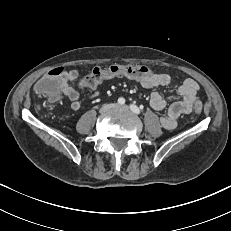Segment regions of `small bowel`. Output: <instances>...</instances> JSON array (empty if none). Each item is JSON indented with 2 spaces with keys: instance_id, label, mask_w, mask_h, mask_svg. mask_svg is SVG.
<instances>
[{
  "instance_id": "obj_1",
  "label": "small bowel",
  "mask_w": 231,
  "mask_h": 231,
  "mask_svg": "<svg viewBox=\"0 0 231 231\" xmlns=\"http://www.w3.org/2000/svg\"><path fill=\"white\" fill-rule=\"evenodd\" d=\"M148 72H151V70L148 69ZM78 77L79 71L77 69L62 71L57 77L60 92L70 100L73 110L83 108L79 92L72 86V82L77 80ZM171 82V76L166 73L140 76L137 79V85L145 92L169 87ZM92 89L93 92L90 94V98H96L99 95V90L96 87ZM198 89V83L191 78H187L177 88L176 94L170 100H167L158 91L151 94L149 100L151 107L157 111L166 110V114L161 117V124L165 129H174L177 125V119L181 115L193 112L189 104L191 100H199L197 96Z\"/></svg>"
}]
</instances>
